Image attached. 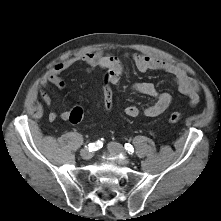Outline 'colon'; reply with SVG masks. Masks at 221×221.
<instances>
[{
	"label": "colon",
	"mask_w": 221,
	"mask_h": 221,
	"mask_svg": "<svg viewBox=\"0 0 221 221\" xmlns=\"http://www.w3.org/2000/svg\"><path fill=\"white\" fill-rule=\"evenodd\" d=\"M102 75L106 79H111L114 76V71L110 66H105L102 69ZM103 94V105L102 110L105 112L106 116L111 117L114 114V92L113 87L110 84H105L102 87ZM84 116V108L81 105H75L69 114L68 120L72 123H78L83 119ZM183 118V114L181 112H171L168 115V121L171 123L179 122Z\"/></svg>",
	"instance_id": "5ec220e1"
}]
</instances>
